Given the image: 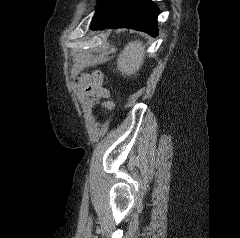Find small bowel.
Instances as JSON below:
<instances>
[{"label":"small bowel","instance_id":"c3829d8e","mask_svg":"<svg viewBox=\"0 0 240 238\" xmlns=\"http://www.w3.org/2000/svg\"><path fill=\"white\" fill-rule=\"evenodd\" d=\"M82 88L85 93L105 100V107L109 109L114 108V104L108 100L110 97L109 91L102 87V80L99 73H94L92 77H84L82 79Z\"/></svg>","mask_w":240,"mask_h":238}]
</instances>
